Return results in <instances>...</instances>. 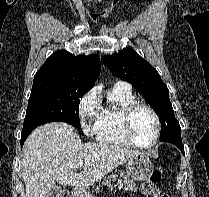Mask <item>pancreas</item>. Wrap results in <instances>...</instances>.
<instances>
[{"instance_id": "cf45deb5", "label": "pancreas", "mask_w": 209, "mask_h": 197, "mask_svg": "<svg viewBox=\"0 0 209 197\" xmlns=\"http://www.w3.org/2000/svg\"><path fill=\"white\" fill-rule=\"evenodd\" d=\"M114 182H116V185L120 189H124L125 191H129V192L137 191L136 184L127 175L118 176L117 174H110L109 176H105L102 182L100 183V186L113 187L112 183ZM96 190L98 191L99 189L97 188Z\"/></svg>"}]
</instances>
